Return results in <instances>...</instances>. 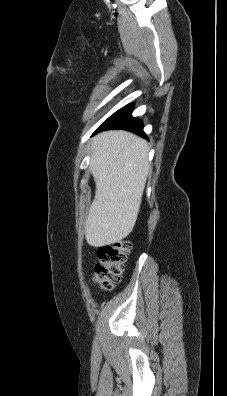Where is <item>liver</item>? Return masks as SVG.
<instances>
[{"label":"liver","mask_w":227,"mask_h":396,"mask_svg":"<svg viewBox=\"0 0 227 396\" xmlns=\"http://www.w3.org/2000/svg\"><path fill=\"white\" fill-rule=\"evenodd\" d=\"M147 155V142L130 132L93 138L90 171L96 192L84 228L90 246L113 244L133 230L150 170Z\"/></svg>","instance_id":"liver-1"}]
</instances>
